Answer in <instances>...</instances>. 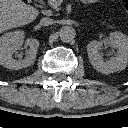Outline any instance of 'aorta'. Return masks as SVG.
Instances as JSON below:
<instances>
[{
    "mask_svg": "<svg viewBox=\"0 0 128 128\" xmlns=\"http://www.w3.org/2000/svg\"><path fill=\"white\" fill-rule=\"evenodd\" d=\"M60 39L63 42H70L75 38L76 31L71 26H63L59 31Z\"/></svg>",
    "mask_w": 128,
    "mask_h": 128,
    "instance_id": "762f6f07",
    "label": "aorta"
}]
</instances>
